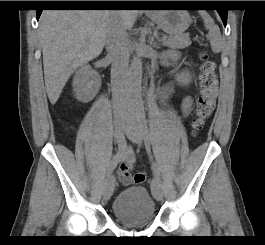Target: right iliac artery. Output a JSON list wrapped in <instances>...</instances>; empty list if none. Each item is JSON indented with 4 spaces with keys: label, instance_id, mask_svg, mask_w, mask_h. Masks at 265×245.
I'll return each mask as SVG.
<instances>
[{
    "label": "right iliac artery",
    "instance_id": "obj_1",
    "mask_svg": "<svg viewBox=\"0 0 265 245\" xmlns=\"http://www.w3.org/2000/svg\"><path fill=\"white\" fill-rule=\"evenodd\" d=\"M113 136L115 139V143L117 144L118 150L117 153L113 156L112 160L108 163V168H107V173L110 174L112 168L119 162V160L121 159V153L122 150L124 148L123 145V135L121 134V136H116L115 132H113Z\"/></svg>",
    "mask_w": 265,
    "mask_h": 245
}]
</instances>
